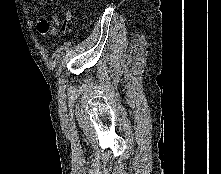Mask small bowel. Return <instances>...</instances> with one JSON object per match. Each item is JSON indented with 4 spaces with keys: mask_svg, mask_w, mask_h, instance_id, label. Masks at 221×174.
<instances>
[{
    "mask_svg": "<svg viewBox=\"0 0 221 174\" xmlns=\"http://www.w3.org/2000/svg\"><path fill=\"white\" fill-rule=\"evenodd\" d=\"M39 0H31L30 7L36 8V4ZM72 19V14L70 11H66L64 14L63 20H59L58 18H54L53 22L49 21L43 15H38V29L39 32L43 35L50 34V35H57L58 30L55 25L59 26L62 32L65 34L68 30V26Z\"/></svg>",
    "mask_w": 221,
    "mask_h": 174,
    "instance_id": "c3829d8e",
    "label": "small bowel"
}]
</instances>
